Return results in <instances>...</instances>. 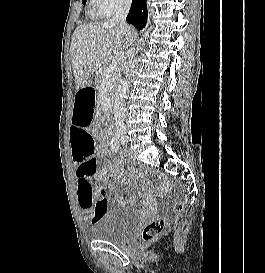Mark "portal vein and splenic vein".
<instances>
[{"label":"portal vein and splenic vein","instance_id":"portal-vein-and-splenic-vein-1","mask_svg":"<svg viewBox=\"0 0 265 273\" xmlns=\"http://www.w3.org/2000/svg\"><path fill=\"white\" fill-rule=\"evenodd\" d=\"M119 65L120 64L118 61H116V60L111 61L106 69V72H105L106 77L113 75L118 70Z\"/></svg>","mask_w":265,"mask_h":273}]
</instances>
